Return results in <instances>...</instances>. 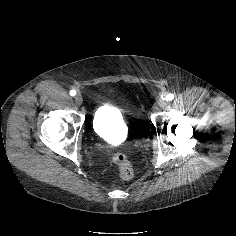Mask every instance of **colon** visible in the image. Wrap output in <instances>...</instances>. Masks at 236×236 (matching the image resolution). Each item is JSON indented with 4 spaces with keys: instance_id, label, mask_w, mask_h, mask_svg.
Listing matches in <instances>:
<instances>
[{
    "instance_id": "colon-1",
    "label": "colon",
    "mask_w": 236,
    "mask_h": 236,
    "mask_svg": "<svg viewBox=\"0 0 236 236\" xmlns=\"http://www.w3.org/2000/svg\"><path fill=\"white\" fill-rule=\"evenodd\" d=\"M112 160L118 167L119 176L122 180H129L133 177V167L128 158L123 153H114Z\"/></svg>"
}]
</instances>
